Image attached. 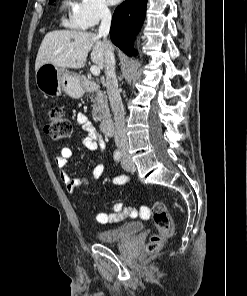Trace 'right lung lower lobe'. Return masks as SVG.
<instances>
[{"mask_svg":"<svg viewBox=\"0 0 247 296\" xmlns=\"http://www.w3.org/2000/svg\"><path fill=\"white\" fill-rule=\"evenodd\" d=\"M147 0H126L113 15L110 38L127 55H135L133 38L143 23Z\"/></svg>","mask_w":247,"mask_h":296,"instance_id":"98d812e1","label":"right lung lower lobe"}]
</instances>
